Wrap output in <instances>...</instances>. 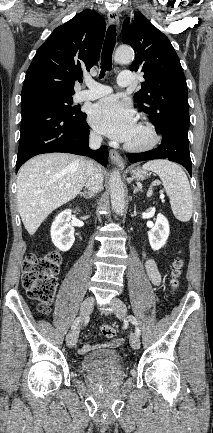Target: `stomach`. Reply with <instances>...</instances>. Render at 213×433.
<instances>
[{
	"label": "stomach",
	"instance_id": "1",
	"mask_svg": "<svg viewBox=\"0 0 213 433\" xmlns=\"http://www.w3.org/2000/svg\"><path fill=\"white\" fill-rule=\"evenodd\" d=\"M130 174H131V177L136 179V180H144L148 175V173L145 170H143L139 167L131 168Z\"/></svg>",
	"mask_w": 213,
	"mask_h": 433
}]
</instances>
